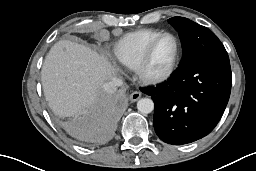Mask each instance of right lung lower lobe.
<instances>
[{"mask_svg": "<svg viewBox=\"0 0 256 171\" xmlns=\"http://www.w3.org/2000/svg\"><path fill=\"white\" fill-rule=\"evenodd\" d=\"M125 92L104 95L86 115L72 120L66 127L74 138L87 143L108 141L116 130L125 109Z\"/></svg>", "mask_w": 256, "mask_h": 171, "instance_id": "obj_1", "label": "right lung lower lobe"}]
</instances>
